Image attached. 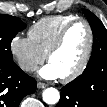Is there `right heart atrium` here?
Returning a JSON list of instances; mask_svg holds the SVG:
<instances>
[{
  "instance_id": "right-heart-atrium-1",
  "label": "right heart atrium",
  "mask_w": 107,
  "mask_h": 107,
  "mask_svg": "<svg viewBox=\"0 0 107 107\" xmlns=\"http://www.w3.org/2000/svg\"><path fill=\"white\" fill-rule=\"evenodd\" d=\"M10 51L19 67L28 73L35 71L46 58L29 37L22 35H15L11 39Z\"/></svg>"
}]
</instances>
